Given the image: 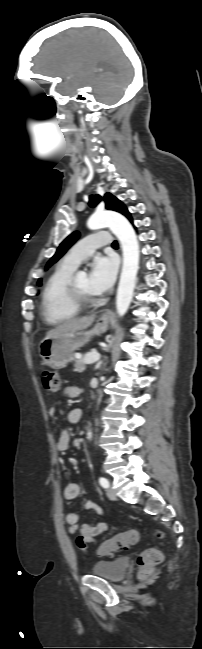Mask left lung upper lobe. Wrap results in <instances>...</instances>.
Here are the masks:
<instances>
[{
    "label": "left lung upper lobe",
    "mask_w": 202,
    "mask_h": 649,
    "mask_svg": "<svg viewBox=\"0 0 202 649\" xmlns=\"http://www.w3.org/2000/svg\"><path fill=\"white\" fill-rule=\"evenodd\" d=\"M101 200H102V198L99 195H91L90 196V201H89L90 207H95ZM104 201H105L107 209L117 211V212L123 214L124 216H126L127 218L130 217V213L128 212L126 206L121 201H119L116 197H114L112 194L106 193L105 196H104ZM78 236H79L78 232H74L70 236H68L60 244V246L58 247L55 255L48 261V263L46 265V268L50 267L59 258H61L63 256V254L69 249V247L74 244V242L76 241ZM38 285L39 286L41 285V279H39Z\"/></svg>",
    "instance_id": "left-lung-upper-lobe-1"
}]
</instances>
